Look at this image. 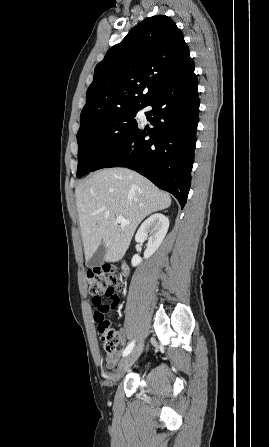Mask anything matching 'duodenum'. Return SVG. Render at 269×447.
<instances>
[{
	"instance_id": "1",
	"label": "duodenum",
	"mask_w": 269,
	"mask_h": 447,
	"mask_svg": "<svg viewBox=\"0 0 269 447\" xmlns=\"http://www.w3.org/2000/svg\"><path fill=\"white\" fill-rule=\"evenodd\" d=\"M122 273L124 275H127V273H128V268H127V266L125 264L122 265Z\"/></svg>"
}]
</instances>
